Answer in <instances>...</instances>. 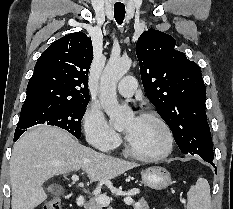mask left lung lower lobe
<instances>
[{
    "label": "left lung lower lobe",
    "instance_id": "0a47b994",
    "mask_svg": "<svg viewBox=\"0 0 233 209\" xmlns=\"http://www.w3.org/2000/svg\"><path fill=\"white\" fill-rule=\"evenodd\" d=\"M205 161H207V162H212L213 161V158H211V157H205V158H203ZM212 164V166L216 169V167H215V165L213 164V163H211Z\"/></svg>",
    "mask_w": 233,
    "mask_h": 209
}]
</instances>
